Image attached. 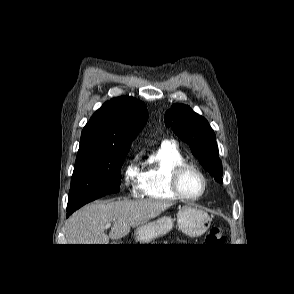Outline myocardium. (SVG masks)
<instances>
[{
    "instance_id": "1",
    "label": "myocardium",
    "mask_w": 294,
    "mask_h": 294,
    "mask_svg": "<svg viewBox=\"0 0 294 294\" xmlns=\"http://www.w3.org/2000/svg\"><path fill=\"white\" fill-rule=\"evenodd\" d=\"M187 170H192V171L196 172L202 180L201 192L196 196H188L181 189V185H180L181 177L184 174V172ZM170 188L178 198L185 200V201H196V200L200 199L206 192L207 177L199 167H197L193 163L183 161V162L176 164L171 170Z\"/></svg>"
}]
</instances>
